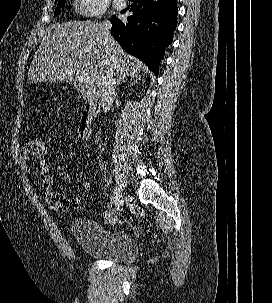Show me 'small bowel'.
Segmentation results:
<instances>
[{
	"label": "small bowel",
	"mask_w": 272,
	"mask_h": 303,
	"mask_svg": "<svg viewBox=\"0 0 272 303\" xmlns=\"http://www.w3.org/2000/svg\"><path fill=\"white\" fill-rule=\"evenodd\" d=\"M20 158H21L25 172L31 173V169L28 165V162L30 160L34 159V152L32 150V141L31 140H29L27 142V144L21 148ZM35 175L41 181L43 188L45 190L49 191L50 187L53 183V178H52L50 171L48 170V171L44 172V171L36 170Z\"/></svg>",
	"instance_id": "c3829d8e"
}]
</instances>
